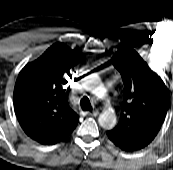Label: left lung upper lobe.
Here are the masks:
<instances>
[{
  "instance_id": "5c2ea615",
  "label": "left lung upper lobe",
  "mask_w": 173,
  "mask_h": 170,
  "mask_svg": "<svg viewBox=\"0 0 173 170\" xmlns=\"http://www.w3.org/2000/svg\"><path fill=\"white\" fill-rule=\"evenodd\" d=\"M111 61L122 76L125 92L119 123L107 135L122 150L137 151L159 132L169 105V91L132 48L119 50Z\"/></svg>"
}]
</instances>
